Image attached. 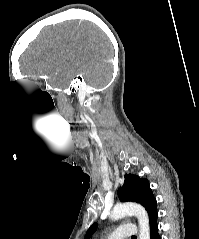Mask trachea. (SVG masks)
Returning <instances> with one entry per match:
<instances>
[{
	"instance_id": "1",
	"label": "trachea",
	"mask_w": 199,
	"mask_h": 239,
	"mask_svg": "<svg viewBox=\"0 0 199 239\" xmlns=\"http://www.w3.org/2000/svg\"><path fill=\"white\" fill-rule=\"evenodd\" d=\"M131 239H137V237L136 236H132Z\"/></svg>"
}]
</instances>
